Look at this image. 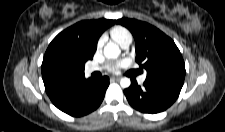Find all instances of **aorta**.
I'll return each instance as SVG.
<instances>
[{"label":"aorta","instance_id":"obj_1","mask_svg":"<svg viewBox=\"0 0 225 132\" xmlns=\"http://www.w3.org/2000/svg\"><path fill=\"white\" fill-rule=\"evenodd\" d=\"M121 53L119 46L115 43H107L104 47V55L106 58L114 59L118 58ZM120 85L122 88H128L131 85L129 78H122L120 80Z\"/></svg>","mask_w":225,"mask_h":132}]
</instances>
